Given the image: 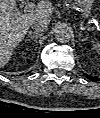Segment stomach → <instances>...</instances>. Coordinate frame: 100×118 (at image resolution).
<instances>
[{"instance_id": "stomach-1", "label": "stomach", "mask_w": 100, "mask_h": 118, "mask_svg": "<svg viewBox=\"0 0 100 118\" xmlns=\"http://www.w3.org/2000/svg\"><path fill=\"white\" fill-rule=\"evenodd\" d=\"M74 1L79 7H81L82 10L81 17L83 19L87 18L90 15L94 0H74Z\"/></svg>"}]
</instances>
